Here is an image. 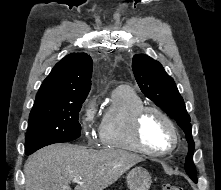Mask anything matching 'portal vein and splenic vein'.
Listing matches in <instances>:
<instances>
[{
	"instance_id": "portal-vein-and-splenic-vein-1",
	"label": "portal vein and splenic vein",
	"mask_w": 221,
	"mask_h": 190,
	"mask_svg": "<svg viewBox=\"0 0 221 190\" xmlns=\"http://www.w3.org/2000/svg\"><path fill=\"white\" fill-rule=\"evenodd\" d=\"M81 178L80 177H74L73 178V182H76V183H81Z\"/></svg>"
}]
</instances>
